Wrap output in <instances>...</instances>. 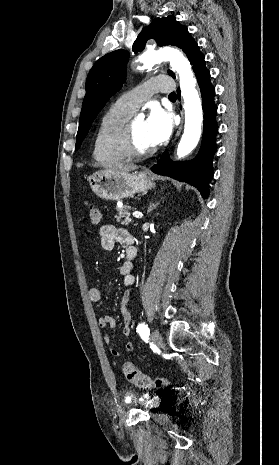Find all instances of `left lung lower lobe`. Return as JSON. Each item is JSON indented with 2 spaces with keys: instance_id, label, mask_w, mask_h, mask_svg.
Here are the masks:
<instances>
[{
  "instance_id": "obj_1",
  "label": "left lung lower lobe",
  "mask_w": 279,
  "mask_h": 465,
  "mask_svg": "<svg viewBox=\"0 0 279 465\" xmlns=\"http://www.w3.org/2000/svg\"><path fill=\"white\" fill-rule=\"evenodd\" d=\"M192 68L200 87L204 112L203 137L198 155L191 161L172 162L166 152L151 170L156 174L189 183L200 191L203 198H207L209 180L213 177L212 159L217 151L218 125L216 123L217 106L214 103L215 88L211 84L210 73L205 67L203 54L195 61Z\"/></svg>"
}]
</instances>
